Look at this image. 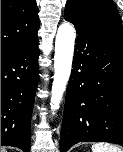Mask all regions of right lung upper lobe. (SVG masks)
Here are the masks:
<instances>
[{"label": "right lung upper lobe", "instance_id": "1", "mask_svg": "<svg viewBox=\"0 0 123 152\" xmlns=\"http://www.w3.org/2000/svg\"><path fill=\"white\" fill-rule=\"evenodd\" d=\"M39 26L36 0H1V51L37 39Z\"/></svg>", "mask_w": 123, "mask_h": 152}]
</instances>
